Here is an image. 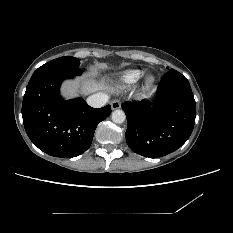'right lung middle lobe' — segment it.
<instances>
[{"label": "right lung middle lobe", "mask_w": 233, "mask_h": 233, "mask_svg": "<svg viewBox=\"0 0 233 233\" xmlns=\"http://www.w3.org/2000/svg\"><path fill=\"white\" fill-rule=\"evenodd\" d=\"M84 69L79 68V59L71 56H63L39 67L33 76L51 73L55 71H63L70 75H81Z\"/></svg>", "instance_id": "1"}]
</instances>
